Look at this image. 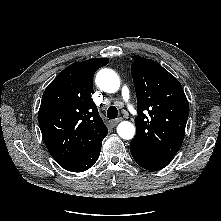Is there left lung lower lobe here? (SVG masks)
Returning <instances> with one entry per match:
<instances>
[{
    "label": "left lung lower lobe",
    "instance_id": "left-lung-lower-lobe-1",
    "mask_svg": "<svg viewBox=\"0 0 221 221\" xmlns=\"http://www.w3.org/2000/svg\"><path fill=\"white\" fill-rule=\"evenodd\" d=\"M130 151H131V154H132L134 160L142 168H145L147 170H159V169H162V168H164V167H166L168 165L166 163H160V162H155V161H150V160L142 159L135 152H133L132 150H130Z\"/></svg>",
    "mask_w": 221,
    "mask_h": 221
}]
</instances>
